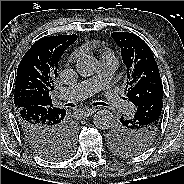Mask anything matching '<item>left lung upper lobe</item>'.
Segmentation results:
<instances>
[{
    "label": "left lung upper lobe",
    "mask_w": 184,
    "mask_h": 184,
    "mask_svg": "<svg viewBox=\"0 0 184 184\" xmlns=\"http://www.w3.org/2000/svg\"><path fill=\"white\" fill-rule=\"evenodd\" d=\"M111 37L121 48L127 67V98L136 107L151 99L163 98L159 69L149 46L133 33L114 32ZM126 120L121 118L108 133L112 150L125 157L140 154L151 145L161 124V114L142 124Z\"/></svg>",
    "instance_id": "1"
}]
</instances>
